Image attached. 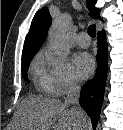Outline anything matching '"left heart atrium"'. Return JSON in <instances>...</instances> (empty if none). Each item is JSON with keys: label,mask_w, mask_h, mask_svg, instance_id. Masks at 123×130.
<instances>
[{"label": "left heart atrium", "mask_w": 123, "mask_h": 130, "mask_svg": "<svg viewBox=\"0 0 123 130\" xmlns=\"http://www.w3.org/2000/svg\"><path fill=\"white\" fill-rule=\"evenodd\" d=\"M74 71L78 78L85 79L91 75L94 70V60L87 52H78L72 58Z\"/></svg>", "instance_id": "39dd6f15"}]
</instances>
